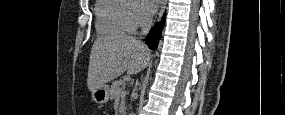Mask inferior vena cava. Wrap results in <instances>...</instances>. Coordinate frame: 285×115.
<instances>
[{
    "label": "inferior vena cava",
    "mask_w": 285,
    "mask_h": 115,
    "mask_svg": "<svg viewBox=\"0 0 285 115\" xmlns=\"http://www.w3.org/2000/svg\"><path fill=\"white\" fill-rule=\"evenodd\" d=\"M151 24H152L151 18H146V19L142 22V25H141V27H142V33H141V35H146V34L149 32V30H150V28H151Z\"/></svg>",
    "instance_id": "inferior-vena-cava-1"
}]
</instances>
